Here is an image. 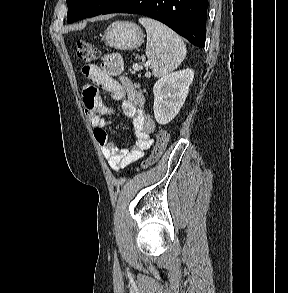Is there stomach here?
<instances>
[{"mask_svg":"<svg viewBox=\"0 0 288 293\" xmlns=\"http://www.w3.org/2000/svg\"><path fill=\"white\" fill-rule=\"evenodd\" d=\"M103 38L105 43L114 49L133 50L143 43L144 34L135 23L116 21L109 25Z\"/></svg>","mask_w":288,"mask_h":293,"instance_id":"1","label":"stomach"}]
</instances>
